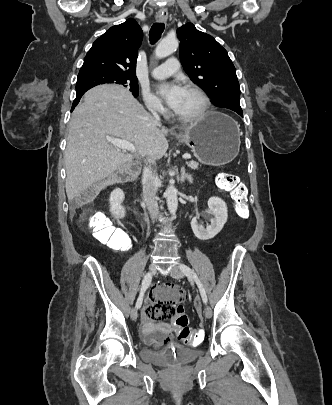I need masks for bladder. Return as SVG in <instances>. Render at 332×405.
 Returning <instances> with one entry per match:
<instances>
[{
    "label": "bladder",
    "mask_w": 332,
    "mask_h": 405,
    "mask_svg": "<svg viewBox=\"0 0 332 405\" xmlns=\"http://www.w3.org/2000/svg\"><path fill=\"white\" fill-rule=\"evenodd\" d=\"M144 347L139 350L141 360L160 365H183L201 355V350L176 343H151L143 337Z\"/></svg>",
    "instance_id": "obj_1"
}]
</instances>
